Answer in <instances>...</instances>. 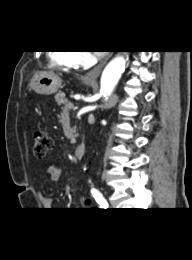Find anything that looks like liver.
<instances>
[{"mask_svg": "<svg viewBox=\"0 0 192 260\" xmlns=\"http://www.w3.org/2000/svg\"><path fill=\"white\" fill-rule=\"evenodd\" d=\"M40 73H45V74H46V73H49V74H51L52 72H40Z\"/></svg>", "mask_w": 192, "mask_h": 260, "instance_id": "liver-1", "label": "liver"}]
</instances>
